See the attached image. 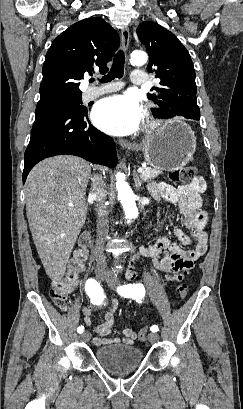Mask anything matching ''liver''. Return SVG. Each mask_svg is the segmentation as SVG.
<instances>
[{"label": "liver", "instance_id": "6515ba94", "mask_svg": "<svg viewBox=\"0 0 243 409\" xmlns=\"http://www.w3.org/2000/svg\"><path fill=\"white\" fill-rule=\"evenodd\" d=\"M91 166L59 155L39 162L25 183L26 214L47 275L61 281L87 215L86 188Z\"/></svg>", "mask_w": 243, "mask_h": 409}]
</instances>
